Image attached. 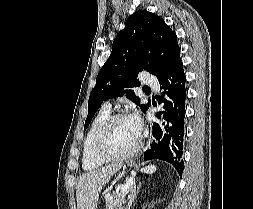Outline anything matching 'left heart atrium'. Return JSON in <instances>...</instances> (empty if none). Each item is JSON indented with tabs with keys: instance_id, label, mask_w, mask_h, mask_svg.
I'll list each match as a JSON object with an SVG mask.
<instances>
[{
	"instance_id": "obj_1",
	"label": "left heart atrium",
	"mask_w": 253,
	"mask_h": 209,
	"mask_svg": "<svg viewBox=\"0 0 253 209\" xmlns=\"http://www.w3.org/2000/svg\"><path fill=\"white\" fill-rule=\"evenodd\" d=\"M129 119H130L132 125L134 126L135 130L139 133V131L141 129V120H140V117L138 116V114L134 113V114L130 115Z\"/></svg>"
}]
</instances>
